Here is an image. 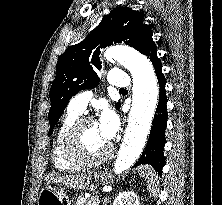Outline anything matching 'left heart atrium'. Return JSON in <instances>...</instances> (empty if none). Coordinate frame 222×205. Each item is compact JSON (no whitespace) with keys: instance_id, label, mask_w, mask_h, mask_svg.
<instances>
[{"instance_id":"1","label":"left heart atrium","mask_w":222,"mask_h":205,"mask_svg":"<svg viewBox=\"0 0 222 205\" xmlns=\"http://www.w3.org/2000/svg\"><path fill=\"white\" fill-rule=\"evenodd\" d=\"M96 124L103 138L109 142L117 132L118 118L113 111L104 110Z\"/></svg>"}]
</instances>
